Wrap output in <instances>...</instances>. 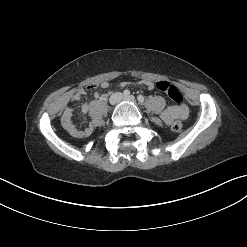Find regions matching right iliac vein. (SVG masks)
<instances>
[{"label":"right iliac vein","mask_w":247,"mask_h":247,"mask_svg":"<svg viewBox=\"0 0 247 247\" xmlns=\"http://www.w3.org/2000/svg\"><path fill=\"white\" fill-rule=\"evenodd\" d=\"M121 99H122V94L119 93V92H117V93H114V94L110 97L109 101H110L111 105H116L117 102H119Z\"/></svg>","instance_id":"right-iliac-vein-1"}]
</instances>
